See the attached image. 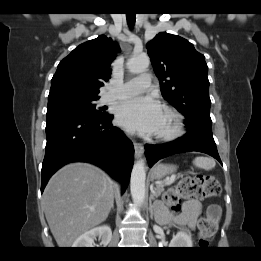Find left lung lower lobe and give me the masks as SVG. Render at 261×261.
<instances>
[{
  "instance_id": "1",
  "label": "left lung lower lobe",
  "mask_w": 261,
  "mask_h": 261,
  "mask_svg": "<svg viewBox=\"0 0 261 261\" xmlns=\"http://www.w3.org/2000/svg\"><path fill=\"white\" fill-rule=\"evenodd\" d=\"M186 127L187 133L174 141L158 145H145V155L149 167L167 156L191 151L206 153L222 164L212 135V125L192 123L187 124Z\"/></svg>"
}]
</instances>
